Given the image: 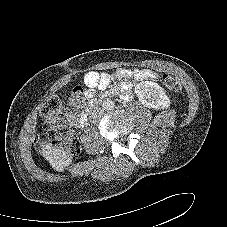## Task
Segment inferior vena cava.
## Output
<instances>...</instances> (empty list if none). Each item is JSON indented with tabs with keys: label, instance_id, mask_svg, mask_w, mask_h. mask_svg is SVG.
<instances>
[{
	"label": "inferior vena cava",
	"instance_id": "1",
	"mask_svg": "<svg viewBox=\"0 0 227 227\" xmlns=\"http://www.w3.org/2000/svg\"><path fill=\"white\" fill-rule=\"evenodd\" d=\"M103 115V110L101 108H94L90 113V118L92 121H96Z\"/></svg>",
	"mask_w": 227,
	"mask_h": 227
}]
</instances>
